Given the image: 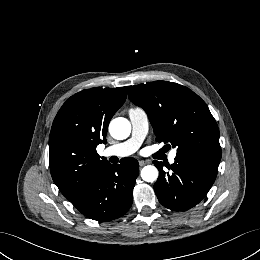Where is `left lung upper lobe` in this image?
Returning <instances> with one entry per match:
<instances>
[{
    "label": "left lung upper lobe",
    "mask_w": 260,
    "mask_h": 260,
    "mask_svg": "<svg viewBox=\"0 0 260 260\" xmlns=\"http://www.w3.org/2000/svg\"><path fill=\"white\" fill-rule=\"evenodd\" d=\"M129 99L143 107L157 142H170L177 154L221 159L219 129L205 102L189 88L155 81L129 86Z\"/></svg>",
    "instance_id": "obj_1"
}]
</instances>
